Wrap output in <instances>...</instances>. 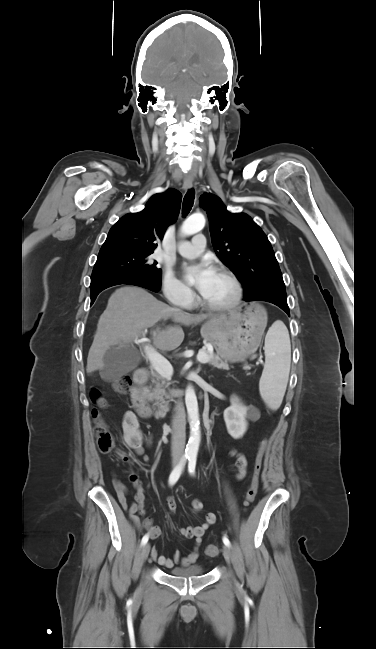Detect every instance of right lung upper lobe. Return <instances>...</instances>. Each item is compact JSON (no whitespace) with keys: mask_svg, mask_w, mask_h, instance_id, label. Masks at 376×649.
Segmentation results:
<instances>
[{"mask_svg":"<svg viewBox=\"0 0 376 649\" xmlns=\"http://www.w3.org/2000/svg\"><path fill=\"white\" fill-rule=\"evenodd\" d=\"M182 195L175 189L153 195L139 213H130L113 225L99 254L118 251H154L169 225L177 220Z\"/></svg>","mask_w":376,"mask_h":649,"instance_id":"1","label":"right lung upper lobe"}]
</instances>
